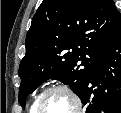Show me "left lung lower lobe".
Returning a JSON list of instances; mask_svg holds the SVG:
<instances>
[{
    "mask_svg": "<svg viewBox=\"0 0 121 113\" xmlns=\"http://www.w3.org/2000/svg\"><path fill=\"white\" fill-rule=\"evenodd\" d=\"M86 113H121V22L80 94Z\"/></svg>",
    "mask_w": 121,
    "mask_h": 113,
    "instance_id": "left-lung-lower-lobe-1",
    "label": "left lung lower lobe"
}]
</instances>
